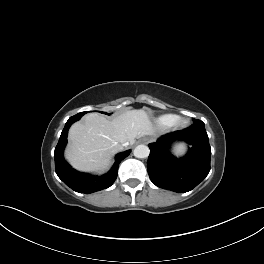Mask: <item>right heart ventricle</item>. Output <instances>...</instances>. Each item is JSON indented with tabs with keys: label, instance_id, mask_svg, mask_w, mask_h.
Listing matches in <instances>:
<instances>
[{
	"label": "right heart ventricle",
	"instance_id": "right-heart-ventricle-1",
	"mask_svg": "<svg viewBox=\"0 0 264 264\" xmlns=\"http://www.w3.org/2000/svg\"><path fill=\"white\" fill-rule=\"evenodd\" d=\"M176 116L173 114H164L155 119V123L159 128L167 129L174 125Z\"/></svg>",
	"mask_w": 264,
	"mask_h": 264
}]
</instances>
